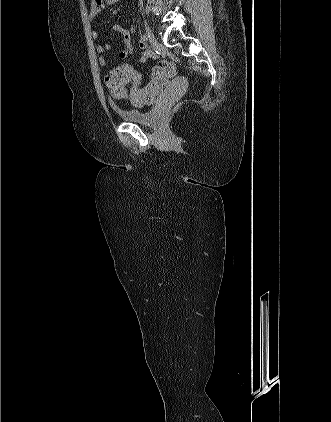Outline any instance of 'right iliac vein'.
<instances>
[{
  "label": "right iliac vein",
  "mask_w": 331,
  "mask_h": 422,
  "mask_svg": "<svg viewBox=\"0 0 331 422\" xmlns=\"http://www.w3.org/2000/svg\"><path fill=\"white\" fill-rule=\"evenodd\" d=\"M144 25H145V31H146V37H147V40L153 45V46H157L158 45V42H157V40H156V38H155V36H154V34H153V32L151 31V29H150V27H149V25L147 24V22L146 21H144Z\"/></svg>",
  "instance_id": "1"
}]
</instances>
